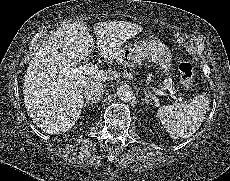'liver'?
Listing matches in <instances>:
<instances>
[{
  "instance_id": "6515ba94",
  "label": "liver",
  "mask_w": 230,
  "mask_h": 181,
  "mask_svg": "<svg viewBox=\"0 0 230 181\" xmlns=\"http://www.w3.org/2000/svg\"><path fill=\"white\" fill-rule=\"evenodd\" d=\"M121 24L94 25L96 42L88 32V24L80 22L47 37L28 66L23 90L27 112L38 128L59 134L77 123L84 107L85 89L109 81L111 74L98 68L87 75L79 73L78 68L90 65L87 57L94 48L104 62L113 64L126 40L142 30L138 25L129 24L125 28Z\"/></svg>"
}]
</instances>
